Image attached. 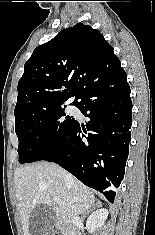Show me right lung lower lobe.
<instances>
[{
	"mask_svg": "<svg viewBox=\"0 0 155 235\" xmlns=\"http://www.w3.org/2000/svg\"><path fill=\"white\" fill-rule=\"evenodd\" d=\"M78 99L75 105L90 118L86 129L77 121L66 142L43 160L59 164L113 203L124 177L131 137L132 102L126 72L95 83Z\"/></svg>",
	"mask_w": 155,
	"mask_h": 235,
	"instance_id": "obj_1",
	"label": "right lung lower lobe"
}]
</instances>
